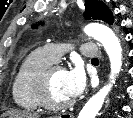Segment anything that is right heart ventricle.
<instances>
[{"label":"right heart ventricle","instance_id":"1","mask_svg":"<svg viewBox=\"0 0 133 118\" xmlns=\"http://www.w3.org/2000/svg\"><path fill=\"white\" fill-rule=\"evenodd\" d=\"M53 62L43 49L33 51L24 60L12 84V98L19 108L35 111L42 107L37 96V82Z\"/></svg>","mask_w":133,"mask_h":118}]
</instances>
